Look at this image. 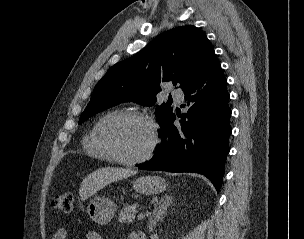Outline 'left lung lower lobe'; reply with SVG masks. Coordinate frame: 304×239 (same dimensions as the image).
<instances>
[{"mask_svg": "<svg viewBox=\"0 0 304 239\" xmlns=\"http://www.w3.org/2000/svg\"><path fill=\"white\" fill-rule=\"evenodd\" d=\"M187 113L172 115L161 126L160 146L153 158L137 165L145 170L194 172L206 176L217 191L229 153L231 110L220 63L213 54L196 81L184 91Z\"/></svg>", "mask_w": 304, "mask_h": 239, "instance_id": "left-lung-lower-lobe-1", "label": "left lung lower lobe"}]
</instances>
